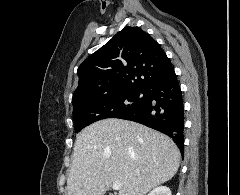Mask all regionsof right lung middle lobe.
I'll return each mask as SVG.
<instances>
[{"instance_id": "1", "label": "right lung middle lobe", "mask_w": 240, "mask_h": 195, "mask_svg": "<svg viewBox=\"0 0 240 195\" xmlns=\"http://www.w3.org/2000/svg\"><path fill=\"white\" fill-rule=\"evenodd\" d=\"M144 91L139 89H124L109 95L93 98H82L73 103V120L75 132L105 118H115L136 106L143 98Z\"/></svg>"}]
</instances>
